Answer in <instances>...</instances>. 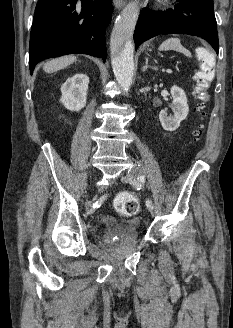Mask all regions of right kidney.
I'll use <instances>...</instances> for the list:
<instances>
[{
    "label": "right kidney",
    "instance_id": "1",
    "mask_svg": "<svg viewBox=\"0 0 233 328\" xmlns=\"http://www.w3.org/2000/svg\"><path fill=\"white\" fill-rule=\"evenodd\" d=\"M89 78L77 73L69 77L61 86L60 102L70 111H80L86 105Z\"/></svg>",
    "mask_w": 233,
    "mask_h": 328
}]
</instances>
